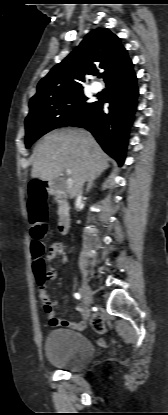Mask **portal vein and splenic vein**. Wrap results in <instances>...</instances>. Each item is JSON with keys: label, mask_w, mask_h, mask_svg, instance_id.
<instances>
[{"label": "portal vein and splenic vein", "mask_w": 168, "mask_h": 415, "mask_svg": "<svg viewBox=\"0 0 168 415\" xmlns=\"http://www.w3.org/2000/svg\"><path fill=\"white\" fill-rule=\"evenodd\" d=\"M66 172H67V174H68V175H70V174H71V170H70V169H67V170H66ZM66 186H67V188H68V189H71V188H72V186H73V181L71 180V178H69V179L66 181Z\"/></svg>", "instance_id": "18ae733b"}]
</instances>
